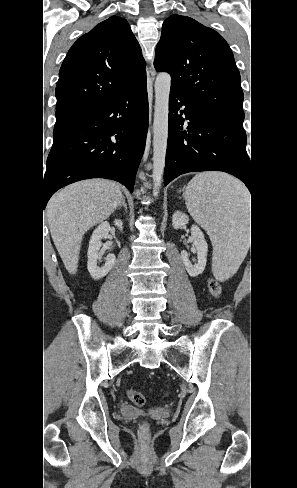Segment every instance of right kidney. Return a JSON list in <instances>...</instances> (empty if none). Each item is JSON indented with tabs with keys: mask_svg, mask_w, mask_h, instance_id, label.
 <instances>
[{
	"mask_svg": "<svg viewBox=\"0 0 297 488\" xmlns=\"http://www.w3.org/2000/svg\"><path fill=\"white\" fill-rule=\"evenodd\" d=\"M114 225L120 230L123 231V223L120 219L114 220ZM111 230L109 222L105 221L102 222L93 232L90 241H89V248H88V271L90 275L94 279H101L108 274V272L113 268L116 257L114 254H108L106 257V262L102 267L98 266V259L99 254L98 251L102 246L101 240L108 236L109 231Z\"/></svg>",
	"mask_w": 297,
	"mask_h": 488,
	"instance_id": "1",
	"label": "right kidney"
}]
</instances>
